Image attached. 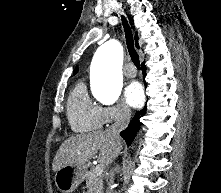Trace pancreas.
<instances>
[{
	"label": "pancreas",
	"mask_w": 221,
	"mask_h": 193,
	"mask_svg": "<svg viewBox=\"0 0 221 193\" xmlns=\"http://www.w3.org/2000/svg\"><path fill=\"white\" fill-rule=\"evenodd\" d=\"M87 193H103V175L97 174L95 169H91L86 174Z\"/></svg>",
	"instance_id": "pancreas-1"
}]
</instances>
